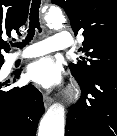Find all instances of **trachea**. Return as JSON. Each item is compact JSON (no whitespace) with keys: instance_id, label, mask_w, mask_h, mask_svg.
Wrapping results in <instances>:
<instances>
[{"instance_id":"obj_1","label":"trachea","mask_w":117,"mask_h":136,"mask_svg":"<svg viewBox=\"0 0 117 136\" xmlns=\"http://www.w3.org/2000/svg\"><path fill=\"white\" fill-rule=\"evenodd\" d=\"M41 5V0H32L31 8H30V17H29V30L28 34L25 40L21 43H12L11 45L14 47H20L23 48L25 45L29 44V42L32 40L35 29L37 28L39 32L42 31L40 28V22H39V8Z\"/></svg>"}]
</instances>
